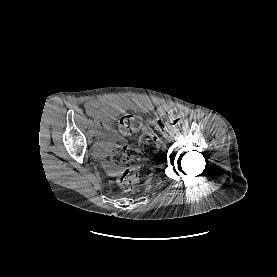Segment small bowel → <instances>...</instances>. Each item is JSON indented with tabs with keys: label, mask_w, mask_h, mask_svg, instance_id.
<instances>
[{
	"label": "small bowel",
	"mask_w": 277,
	"mask_h": 277,
	"mask_svg": "<svg viewBox=\"0 0 277 277\" xmlns=\"http://www.w3.org/2000/svg\"><path fill=\"white\" fill-rule=\"evenodd\" d=\"M123 103L111 101L109 99H91L86 102L85 108L87 113L93 118L97 127L102 128L104 131L99 133L103 138L109 137L111 133L112 123L115 116L122 110ZM139 107L143 111H148L156 108L159 114L168 113L172 111V108L168 105H159L155 107L150 103H139ZM121 139V137H118ZM98 152L105 154L104 141H100L97 146ZM108 172L113 173V166L109 161L104 163Z\"/></svg>",
	"instance_id": "c3829d8e"
}]
</instances>
